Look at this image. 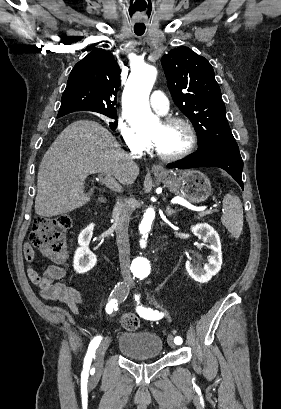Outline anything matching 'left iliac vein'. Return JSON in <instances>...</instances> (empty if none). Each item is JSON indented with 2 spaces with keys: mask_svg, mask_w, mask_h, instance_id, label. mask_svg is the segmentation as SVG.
Returning <instances> with one entry per match:
<instances>
[{
  "mask_svg": "<svg viewBox=\"0 0 281 409\" xmlns=\"http://www.w3.org/2000/svg\"><path fill=\"white\" fill-rule=\"evenodd\" d=\"M168 344L171 348L175 349L177 347L176 343L174 342L173 336H168Z\"/></svg>",
  "mask_w": 281,
  "mask_h": 409,
  "instance_id": "obj_1",
  "label": "left iliac vein"
}]
</instances>
